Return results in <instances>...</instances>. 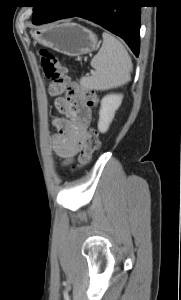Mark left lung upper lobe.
<instances>
[{
	"instance_id": "left-lung-upper-lobe-1",
	"label": "left lung upper lobe",
	"mask_w": 181,
	"mask_h": 300,
	"mask_svg": "<svg viewBox=\"0 0 181 300\" xmlns=\"http://www.w3.org/2000/svg\"><path fill=\"white\" fill-rule=\"evenodd\" d=\"M57 0H34L32 3L33 7V17L32 21L36 25L42 24L47 17L55 10L57 5Z\"/></svg>"
}]
</instances>
